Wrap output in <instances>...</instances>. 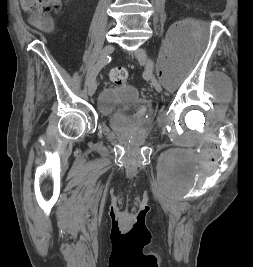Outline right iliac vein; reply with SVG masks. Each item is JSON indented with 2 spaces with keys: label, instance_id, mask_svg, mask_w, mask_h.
Returning <instances> with one entry per match:
<instances>
[{
  "label": "right iliac vein",
  "instance_id": "1",
  "mask_svg": "<svg viewBox=\"0 0 253 267\" xmlns=\"http://www.w3.org/2000/svg\"><path fill=\"white\" fill-rule=\"evenodd\" d=\"M114 51V46L111 44H107L101 52V57H106L110 54H112V52ZM97 89V82L96 79H93L90 83H89V87H88V94L89 96H93L95 91Z\"/></svg>",
  "mask_w": 253,
  "mask_h": 267
}]
</instances>
